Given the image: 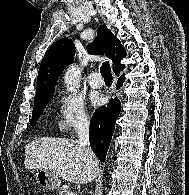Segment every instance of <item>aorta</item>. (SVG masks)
<instances>
[{
  "instance_id": "1",
  "label": "aorta",
  "mask_w": 189,
  "mask_h": 195,
  "mask_svg": "<svg viewBox=\"0 0 189 195\" xmlns=\"http://www.w3.org/2000/svg\"><path fill=\"white\" fill-rule=\"evenodd\" d=\"M81 80V71L76 65H71L68 67L65 76L64 82L68 91L74 92L77 91L80 87Z\"/></svg>"
}]
</instances>
